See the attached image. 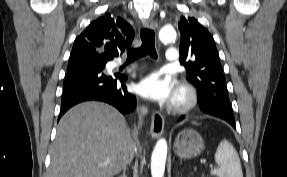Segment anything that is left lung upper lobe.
<instances>
[{
	"label": "left lung upper lobe",
	"instance_id": "5c2ea615",
	"mask_svg": "<svg viewBox=\"0 0 287 177\" xmlns=\"http://www.w3.org/2000/svg\"><path fill=\"white\" fill-rule=\"evenodd\" d=\"M178 28L181 32L180 62L187 69V80L198 90L199 104L207 107L214 95L226 96L225 77L214 39L193 17L182 16ZM227 109L231 112L229 101Z\"/></svg>",
	"mask_w": 287,
	"mask_h": 177
}]
</instances>
